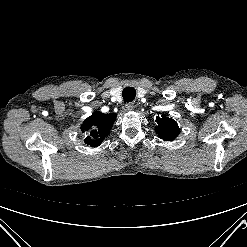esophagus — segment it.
I'll list each match as a JSON object with an SVG mask.
<instances>
[{
	"mask_svg": "<svg viewBox=\"0 0 247 247\" xmlns=\"http://www.w3.org/2000/svg\"><path fill=\"white\" fill-rule=\"evenodd\" d=\"M133 109H134V104L133 103L129 102V103L125 104V110L131 111Z\"/></svg>",
	"mask_w": 247,
	"mask_h": 247,
	"instance_id": "34e87169",
	"label": "esophagus"
}]
</instances>
